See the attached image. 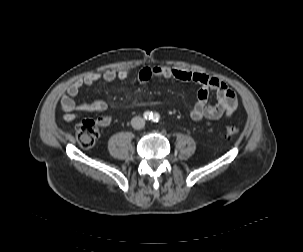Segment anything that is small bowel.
Returning a JSON list of instances; mask_svg holds the SVG:
<instances>
[{
  "instance_id": "c3829d8e",
  "label": "small bowel",
  "mask_w": 303,
  "mask_h": 252,
  "mask_svg": "<svg viewBox=\"0 0 303 252\" xmlns=\"http://www.w3.org/2000/svg\"><path fill=\"white\" fill-rule=\"evenodd\" d=\"M131 74V69L107 70L99 73H89L83 78L72 83L62 95L60 107L63 111V119L66 122L74 121L78 113L103 112L108 105L104 100L77 103L74 99L81 93L83 87H90L99 81L112 82L125 80ZM152 77L175 79L181 82H194L201 87L198 90L196 100L190 108L189 115L194 121H202L210 125L222 117L231 116L238 107V99L233 90L221 79L207 74L191 73L170 66H150L141 68L137 72V80L146 83ZM210 92L215 96V103L209 104ZM111 117L104 116L98 119L101 127L111 124Z\"/></svg>"
}]
</instances>
